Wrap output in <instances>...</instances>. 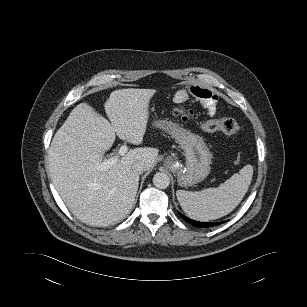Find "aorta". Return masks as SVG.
<instances>
[{
    "instance_id": "762f6f07",
    "label": "aorta",
    "mask_w": 307,
    "mask_h": 307,
    "mask_svg": "<svg viewBox=\"0 0 307 307\" xmlns=\"http://www.w3.org/2000/svg\"><path fill=\"white\" fill-rule=\"evenodd\" d=\"M153 184L156 188L166 189L170 185V178L164 172H158L153 176Z\"/></svg>"
}]
</instances>
